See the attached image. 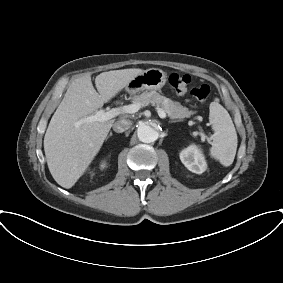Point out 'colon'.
Masks as SVG:
<instances>
[{
	"label": "colon",
	"instance_id": "obj_1",
	"mask_svg": "<svg viewBox=\"0 0 283 283\" xmlns=\"http://www.w3.org/2000/svg\"><path fill=\"white\" fill-rule=\"evenodd\" d=\"M168 81L177 93L184 94L189 92L199 101H206L211 94L209 85L205 83H193L192 78L186 74L172 73Z\"/></svg>",
	"mask_w": 283,
	"mask_h": 283
}]
</instances>
